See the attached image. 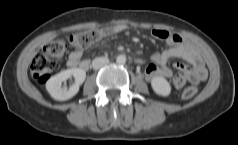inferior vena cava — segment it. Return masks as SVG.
Instances as JSON below:
<instances>
[{"mask_svg": "<svg viewBox=\"0 0 238 145\" xmlns=\"http://www.w3.org/2000/svg\"><path fill=\"white\" fill-rule=\"evenodd\" d=\"M109 63V59L107 57H96L92 61V67L95 70H98L104 66H106Z\"/></svg>", "mask_w": 238, "mask_h": 145, "instance_id": "obj_1", "label": "inferior vena cava"}]
</instances>
